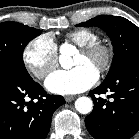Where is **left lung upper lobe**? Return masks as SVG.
Here are the masks:
<instances>
[{
  "mask_svg": "<svg viewBox=\"0 0 139 139\" xmlns=\"http://www.w3.org/2000/svg\"><path fill=\"white\" fill-rule=\"evenodd\" d=\"M77 26L99 27L112 41L114 57L103 82L110 80L129 62L139 59V28L129 20L119 16L101 15Z\"/></svg>",
  "mask_w": 139,
  "mask_h": 139,
  "instance_id": "1",
  "label": "left lung upper lobe"
}]
</instances>
